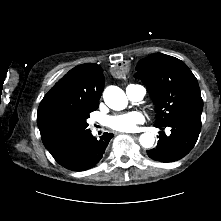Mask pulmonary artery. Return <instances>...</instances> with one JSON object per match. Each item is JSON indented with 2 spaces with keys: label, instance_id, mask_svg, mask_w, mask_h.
Here are the masks:
<instances>
[{
  "label": "pulmonary artery",
  "instance_id": "1",
  "mask_svg": "<svg viewBox=\"0 0 221 221\" xmlns=\"http://www.w3.org/2000/svg\"><path fill=\"white\" fill-rule=\"evenodd\" d=\"M126 94L133 101H140L146 94V90L142 85L130 84L126 87Z\"/></svg>",
  "mask_w": 221,
  "mask_h": 221
}]
</instances>
